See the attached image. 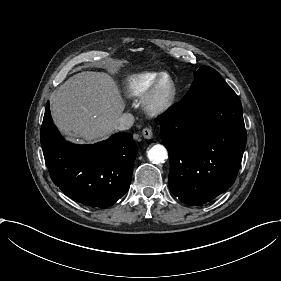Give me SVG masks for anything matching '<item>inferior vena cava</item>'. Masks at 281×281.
<instances>
[{"label":"inferior vena cava","mask_w":281,"mask_h":281,"mask_svg":"<svg viewBox=\"0 0 281 281\" xmlns=\"http://www.w3.org/2000/svg\"><path fill=\"white\" fill-rule=\"evenodd\" d=\"M134 117L130 113H124L119 119L113 122V127L117 130H127L132 127Z\"/></svg>","instance_id":"1"}]
</instances>
